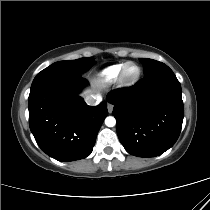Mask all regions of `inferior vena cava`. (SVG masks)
Instances as JSON below:
<instances>
[{"instance_id": "obj_1", "label": "inferior vena cava", "mask_w": 210, "mask_h": 210, "mask_svg": "<svg viewBox=\"0 0 210 210\" xmlns=\"http://www.w3.org/2000/svg\"><path fill=\"white\" fill-rule=\"evenodd\" d=\"M85 102L90 106H95V105L99 104L100 98H98L97 96H94V95H88L85 98Z\"/></svg>"}]
</instances>
